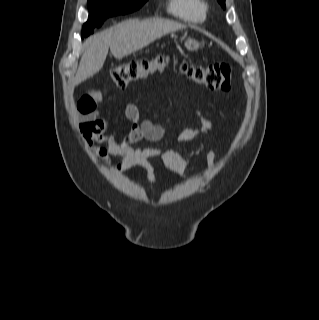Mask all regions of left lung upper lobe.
I'll list each match as a JSON object with an SVG mask.
<instances>
[{"mask_svg":"<svg viewBox=\"0 0 319 320\" xmlns=\"http://www.w3.org/2000/svg\"><path fill=\"white\" fill-rule=\"evenodd\" d=\"M223 8H225V0H217Z\"/></svg>","mask_w":319,"mask_h":320,"instance_id":"1","label":"left lung upper lobe"}]
</instances>
